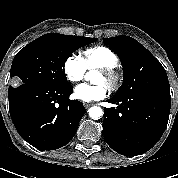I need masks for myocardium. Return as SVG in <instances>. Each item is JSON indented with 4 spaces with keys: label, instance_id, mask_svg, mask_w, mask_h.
<instances>
[{
    "label": "myocardium",
    "instance_id": "myocardium-1",
    "mask_svg": "<svg viewBox=\"0 0 178 178\" xmlns=\"http://www.w3.org/2000/svg\"><path fill=\"white\" fill-rule=\"evenodd\" d=\"M100 73H102L107 79V86L110 90L114 91L120 85L121 76L115 67H100L97 68Z\"/></svg>",
    "mask_w": 178,
    "mask_h": 178
}]
</instances>
